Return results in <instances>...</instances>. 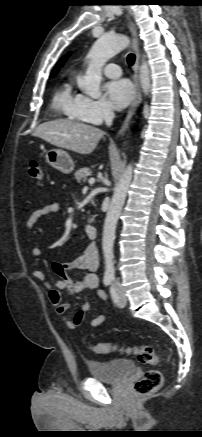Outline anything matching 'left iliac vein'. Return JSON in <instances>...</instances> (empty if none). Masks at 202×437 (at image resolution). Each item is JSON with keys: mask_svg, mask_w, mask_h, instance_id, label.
<instances>
[{"mask_svg": "<svg viewBox=\"0 0 202 437\" xmlns=\"http://www.w3.org/2000/svg\"><path fill=\"white\" fill-rule=\"evenodd\" d=\"M117 296H118L117 305L119 307H124L126 305L127 299H126V296L124 294V291L121 288L118 289Z\"/></svg>", "mask_w": 202, "mask_h": 437, "instance_id": "4c4485c4", "label": "left iliac vein"}]
</instances>
